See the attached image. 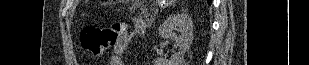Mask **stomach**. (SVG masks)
Listing matches in <instances>:
<instances>
[{"instance_id": "obj_1", "label": "stomach", "mask_w": 309, "mask_h": 65, "mask_svg": "<svg viewBox=\"0 0 309 65\" xmlns=\"http://www.w3.org/2000/svg\"><path fill=\"white\" fill-rule=\"evenodd\" d=\"M119 2L118 0H107V1H104L103 4H113V3H117Z\"/></svg>"}]
</instances>
